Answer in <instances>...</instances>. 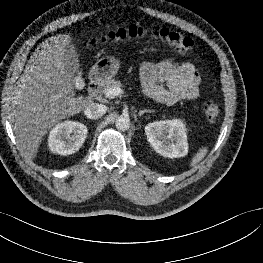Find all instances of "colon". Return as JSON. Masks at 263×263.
<instances>
[{
  "label": "colon",
  "mask_w": 263,
  "mask_h": 263,
  "mask_svg": "<svg viewBox=\"0 0 263 263\" xmlns=\"http://www.w3.org/2000/svg\"><path fill=\"white\" fill-rule=\"evenodd\" d=\"M144 37H151L162 41L181 54L189 52L193 47L192 39L180 32L167 28L147 30L144 27L136 24L113 29L95 39H92L91 41L87 42L86 45L95 46L97 44L117 42L127 38ZM220 112L221 105L217 101L208 100L204 103L203 113L208 122L214 123L218 119Z\"/></svg>",
  "instance_id": "obj_1"
}]
</instances>
